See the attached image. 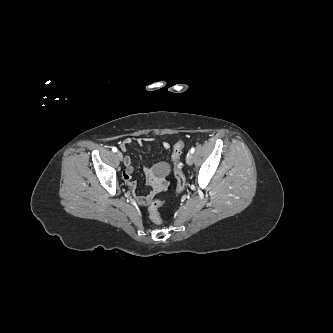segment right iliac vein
<instances>
[{
  "label": "right iliac vein",
  "instance_id": "1",
  "mask_svg": "<svg viewBox=\"0 0 333 333\" xmlns=\"http://www.w3.org/2000/svg\"><path fill=\"white\" fill-rule=\"evenodd\" d=\"M116 155H117V157H118L119 160H121V161L123 160V155H122V153L120 151H118L116 153Z\"/></svg>",
  "mask_w": 333,
  "mask_h": 333
}]
</instances>
